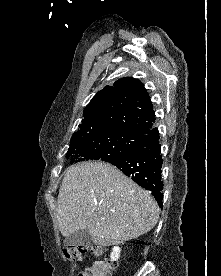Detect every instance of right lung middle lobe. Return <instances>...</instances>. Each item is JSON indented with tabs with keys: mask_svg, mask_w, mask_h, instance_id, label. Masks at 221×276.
I'll return each mask as SVG.
<instances>
[{
	"mask_svg": "<svg viewBox=\"0 0 221 276\" xmlns=\"http://www.w3.org/2000/svg\"><path fill=\"white\" fill-rule=\"evenodd\" d=\"M143 138L126 133L112 132L71 141L66 157L70 163L85 160L111 162L128 155L138 147Z\"/></svg>",
	"mask_w": 221,
	"mask_h": 276,
	"instance_id": "1",
	"label": "right lung middle lobe"
}]
</instances>
